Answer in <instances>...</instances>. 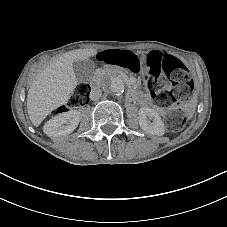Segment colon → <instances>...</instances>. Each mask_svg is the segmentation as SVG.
I'll return each mask as SVG.
<instances>
[{
	"label": "colon",
	"instance_id": "obj_1",
	"mask_svg": "<svg viewBox=\"0 0 227 227\" xmlns=\"http://www.w3.org/2000/svg\"><path fill=\"white\" fill-rule=\"evenodd\" d=\"M97 59L101 62L123 67L132 73H138L142 68L148 70L146 84L159 107L171 108L187 100L193 91V82L189 76L188 68L177 58L163 54L157 56L150 53L141 56L130 51L109 50L100 52ZM172 83V89L166 90L161 74ZM90 86L80 84L68 99L67 103L58 108L56 113L68 109L84 106L89 101ZM185 114L180 110H173L165 117V124L171 131H177L185 122Z\"/></svg>",
	"mask_w": 227,
	"mask_h": 227
}]
</instances>
